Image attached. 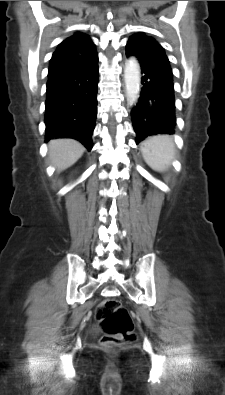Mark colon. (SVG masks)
Instances as JSON below:
<instances>
[{"label":"colon","mask_w":225,"mask_h":395,"mask_svg":"<svg viewBox=\"0 0 225 395\" xmlns=\"http://www.w3.org/2000/svg\"><path fill=\"white\" fill-rule=\"evenodd\" d=\"M102 330L101 344L106 349H115L136 341L134 322L130 312L115 299L105 300L96 310Z\"/></svg>","instance_id":"obj_1"}]
</instances>
